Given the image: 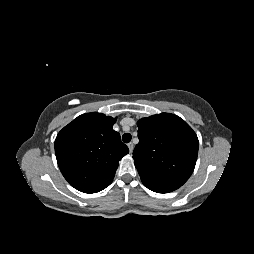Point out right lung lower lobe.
I'll list each match as a JSON object with an SVG mask.
<instances>
[{"label":"right lung lower lobe","instance_id":"obj_1","mask_svg":"<svg viewBox=\"0 0 254 254\" xmlns=\"http://www.w3.org/2000/svg\"><path fill=\"white\" fill-rule=\"evenodd\" d=\"M111 183H109L108 185H110ZM108 185H106L105 187H103V188H101L100 190H98L97 192H99V191H101V190H103V189H105ZM95 193V192H94Z\"/></svg>","mask_w":254,"mask_h":254}]
</instances>
